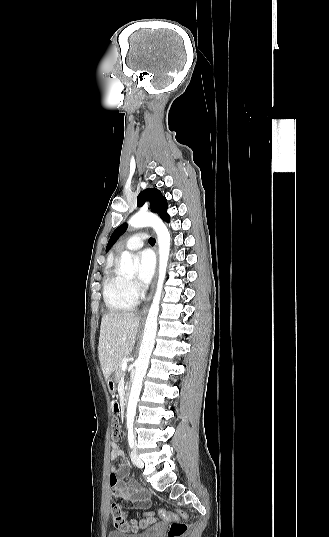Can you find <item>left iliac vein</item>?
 <instances>
[{
    "instance_id": "4c4485c4",
    "label": "left iliac vein",
    "mask_w": 329,
    "mask_h": 537,
    "mask_svg": "<svg viewBox=\"0 0 329 537\" xmlns=\"http://www.w3.org/2000/svg\"><path fill=\"white\" fill-rule=\"evenodd\" d=\"M132 460L134 462V464L139 467V468H142L143 467V461L137 456V454L135 453V451H132Z\"/></svg>"
}]
</instances>
